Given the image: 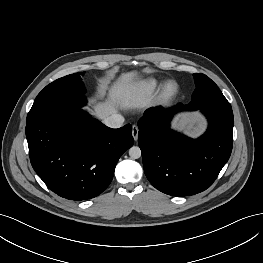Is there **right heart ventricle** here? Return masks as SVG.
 Here are the masks:
<instances>
[{
    "label": "right heart ventricle",
    "mask_w": 263,
    "mask_h": 263,
    "mask_svg": "<svg viewBox=\"0 0 263 263\" xmlns=\"http://www.w3.org/2000/svg\"><path fill=\"white\" fill-rule=\"evenodd\" d=\"M160 86L161 82L154 78L145 79L136 84L132 89H129L127 96H149L155 93Z\"/></svg>",
    "instance_id": "e07e8e85"
}]
</instances>
